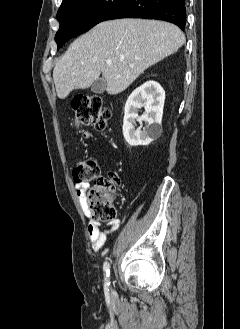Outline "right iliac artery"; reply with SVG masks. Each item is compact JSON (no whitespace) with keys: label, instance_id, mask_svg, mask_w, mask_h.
Returning <instances> with one entry per match:
<instances>
[{"label":"right iliac artery","instance_id":"1","mask_svg":"<svg viewBox=\"0 0 240 329\" xmlns=\"http://www.w3.org/2000/svg\"><path fill=\"white\" fill-rule=\"evenodd\" d=\"M103 270L105 272V287L106 289L109 287L110 285V281H109V276H110V264L109 262L105 261L103 264Z\"/></svg>","mask_w":240,"mask_h":329}]
</instances>
